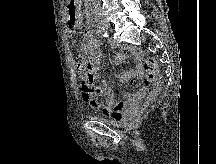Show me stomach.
<instances>
[{
    "label": "stomach",
    "instance_id": "obj_1",
    "mask_svg": "<svg viewBox=\"0 0 216 164\" xmlns=\"http://www.w3.org/2000/svg\"><path fill=\"white\" fill-rule=\"evenodd\" d=\"M66 14H79V9H66Z\"/></svg>",
    "mask_w": 216,
    "mask_h": 164
}]
</instances>
